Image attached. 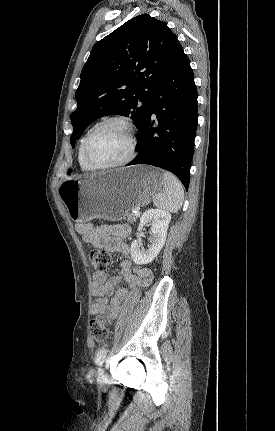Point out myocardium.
Returning <instances> with one entry per match:
<instances>
[{
    "label": "myocardium",
    "instance_id": "f54148a6",
    "mask_svg": "<svg viewBox=\"0 0 275 431\" xmlns=\"http://www.w3.org/2000/svg\"><path fill=\"white\" fill-rule=\"evenodd\" d=\"M113 122H117V123L122 124L128 131L129 140H130V146H129L128 154L126 155L125 158H123L122 160L115 162V163L102 164V165L94 164L88 157V152H87L88 143H89L91 137L93 136V134L99 128H101L102 126H104L106 124L113 123ZM136 147H137L136 129H135V126L132 124V122L124 116H111V117L105 118V119L99 121L98 123H96L89 130V132L86 134V136L83 140V143H82V155H83V159H84L85 163L93 170L114 169V168H119V167L125 166L128 163H130L135 157Z\"/></svg>",
    "mask_w": 275,
    "mask_h": 431
}]
</instances>
